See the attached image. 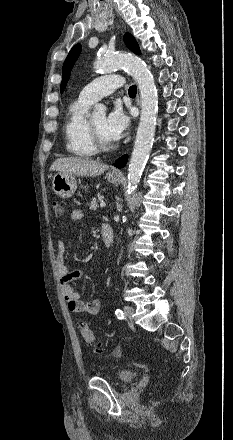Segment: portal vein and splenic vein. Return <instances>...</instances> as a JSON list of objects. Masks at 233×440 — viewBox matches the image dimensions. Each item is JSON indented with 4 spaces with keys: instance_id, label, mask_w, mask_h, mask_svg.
<instances>
[{
    "instance_id": "1",
    "label": "portal vein and splenic vein",
    "mask_w": 233,
    "mask_h": 440,
    "mask_svg": "<svg viewBox=\"0 0 233 440\" xmlns=\"http://www.w3.org/2000/svg\"><path fill=\"white\" fill-rule=\"evenodd\" d=\"M100 207H102V208L106 207V203L102 202V203L100 204Z\"/></svg>"
}]
</instances>
